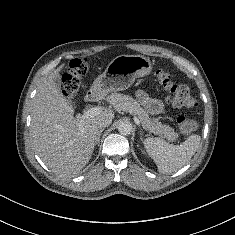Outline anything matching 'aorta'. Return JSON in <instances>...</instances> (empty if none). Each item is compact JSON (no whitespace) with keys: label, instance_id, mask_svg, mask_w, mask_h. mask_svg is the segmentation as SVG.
<instances>
[{"label":"aorta","instance_id":"aorta-1","mask_svg":"<svg viewBox=\"0 0 235 235\" xmlns=\"http://www.w3.org/2000/svg\"><path fill=\"white\" fill-rule=\"evenodd\" d=\"M133 126L128 121H122L118 125V131L122 135H130L132 132Z\"/></svg>","mask_w":235,"mask_h":235}]
</instances>
